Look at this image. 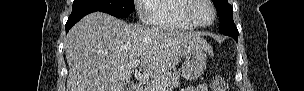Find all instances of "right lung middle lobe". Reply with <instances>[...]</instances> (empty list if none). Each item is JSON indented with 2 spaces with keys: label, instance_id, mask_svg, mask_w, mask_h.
<instances>
[{
  "label": "right lung middle lobe",
  "instance_id": "right-lung-middle-lobe-1",
  "mask_svg": "<svg viewBox=\"0 0 304 91\" xmlns=\"http://www.w3.org/2000/svg\"><path fill=\"white\" fill-rule=\"evenodd\" d=\"M93 9L126 18L135 10L134 0H74L73 10Z\"/></svg>",
  "mask_w": 304,
  "mask_h": 91
}]
</instances>
